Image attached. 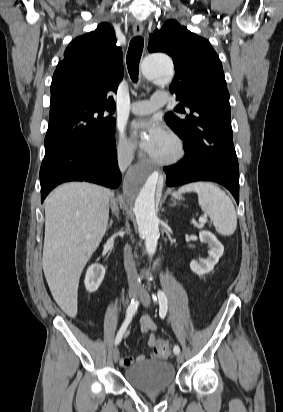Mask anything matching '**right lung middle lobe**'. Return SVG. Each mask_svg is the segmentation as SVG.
<instances>
[{"label":"right lung middle lobe","mask_w":283,"mask_h":412,"mask_svg":"<svg viewBox=\"0 0 283 412\" xmlns=\"http://www.w3.org/2000/svg\"><path fill=\"white\" fill-rule=\"evenodd\" d=\"M114 110L95 105H71L64 114L50 115L44 140L45 150L61 143L81 140L88 143L115 138Z\"/></svg>","instance_id":"obj_1"}]
</instances>
